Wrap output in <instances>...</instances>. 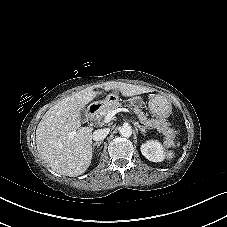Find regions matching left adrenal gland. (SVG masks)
I'll return each instance as SVG.
<instances>
[{"instance_id": "a2214340", "label": "left adrenal gland", "mask_w": 227, "mask_h": 227, "mask_svg": "<svg viewBox=\"0 0 227 227\" xmlns=\"http://www.w3.org/2000/svg\"><path fill=\"white\" fill-rule=\"evenodd\" d=\"M135 125L145 135V133H146V127L139 125L137 122L135 123Z\"/></svg>"}]
</instances>
